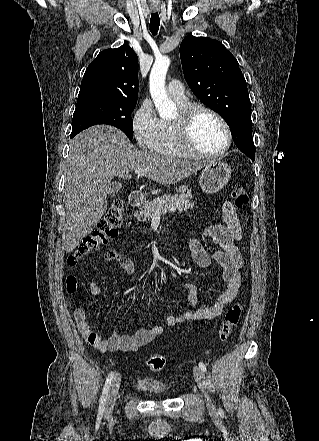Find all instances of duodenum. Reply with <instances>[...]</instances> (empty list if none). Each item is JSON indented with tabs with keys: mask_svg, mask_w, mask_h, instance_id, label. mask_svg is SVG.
Listing matches in <instances>:
<instances>
[{
	"mask_svg": "<svg viewBox=\"0 0 319 441\" xmlns=\"http://www.w3.org/2000/svg\"><path fill=\"white\" fill-rule=\"evenodd\" d=\"M144 201V195L141 191H133L128 197V204L131 207L140 205Z\"/></svg>",
	"mask_w": 319,
	"mask_h": 441,
	"instance_id": "410a0bca",
	"label": "duodenum"
}]
</instances>
